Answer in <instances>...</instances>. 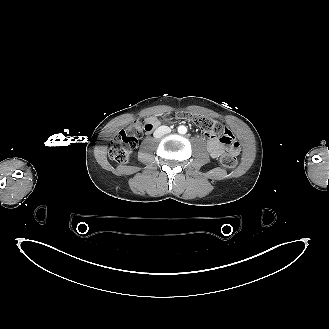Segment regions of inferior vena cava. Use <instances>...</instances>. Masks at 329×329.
I'll return each mask as SVG.
<instances>
[{"mask_svg":"<svg viewBox=\"0 0 329 329\" xmlns=\"http://www.w3.org/2000/svg\"><path fill=\"white\" fill-rule=\"evenodd\" d=\"M171 132V129L168 126H160L154 131V137L160 138L165 134H168Z\"/></svg>","mask_w":329,"mask_h":329,"instance_id":"inferior-vena-cava-1","label":"inferior vena cava"}]
</instances>
